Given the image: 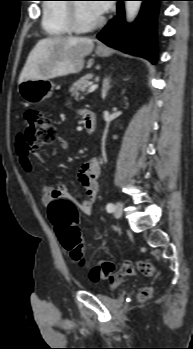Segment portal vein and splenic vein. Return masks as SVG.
I'll return each instance as SVG.
<instances>
[{"label": "portal vein and splenic vein", "instance_id": "1", "mask_svg": "<svg viewBox=\"0 0 193 349\" xmlns=\"http://www.w3.org/2000/svg\"><path fill=\"white\" fill-rule=\"evenodd\" d=\"M98 88L97 84L91 85L88 89V93L94 92Z\"/></svg>", "mask_w": 193, "mask_h": 349}]
</instances>
